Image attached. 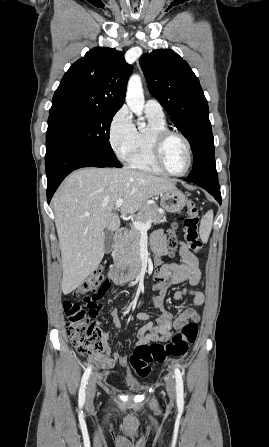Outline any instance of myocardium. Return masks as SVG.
I'll list each match as a JSON object with an SVG mask.
<instances>
[{"instance_id":"obj_1","label":"myocardium","mask_w":269,"mask_h":447,"mask_svg":"<svg viewBox=\"0 0 269 447\" xmlns=\"http://www.w3.org/2000/svg\"><path fill=\"white\" fill-rule=\"evenodd\" d=\"M172 137L180 138L186 146L188 159L186 167L182 171L172 170L165 160V145ZM151 143L154 160L165 172L175 176H182L188 172L192 164V146L189 139L184 134L170 129L157 130L152 135Z\"/></svg>"}]
</instances>
